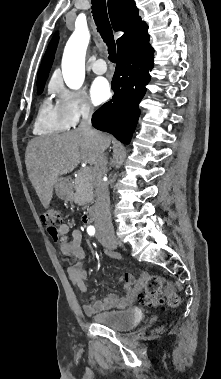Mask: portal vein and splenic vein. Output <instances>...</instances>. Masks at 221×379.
I'll list each match as a JSON object with an SVG mask.
<instances>
[{
	"label": "portal vein and splenic vein",
	"instance_id": "obj_1",
	"mask_svg": "<svg viewBox=\"0 0 221 379\" xmlns=\"http://www.w3.org/2000/svg\"><path fill=\"white\" fill-rule=\"evenodd\" d=\"M88 172H89V170L87 168H85V169L82 170V174H86Z\"/></svg>",
	"mask_w": 221,
	"mask_h": 379
}]
</instances>
